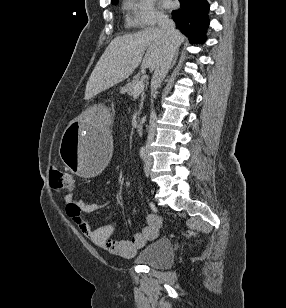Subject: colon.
<instances>
[{
  "label": "colon",
  "mask_w": 286,
  "mask_h": 308,
  "mask_svg": "<svg viewBox=\"0 0 286 308\" xmlns=\"http://www.w3.org/2000/svg\"><path fill=\"white\" fill-rule=\"evenodd\" d=\"M50 185L56 191L70 192L75 187V179L69 172L53 169L50 172Z\"/></svg>",
  "instance_id": "colon-1"
}]
</instances>
